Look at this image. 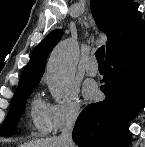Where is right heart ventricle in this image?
I'll use <instances>...</instances> for the list:
<instances>
[{"mask_svg":"<svg viewBox=\"0 0 145 147\" xmlns=\"http://www.w3.org/2000/svg\"><path fill=\"white\" fill-rule=\"evenodd\" d=\"M31 121L34 127L40 132L48 131L46 123V104L39 98H35L31 105Z\"/></svg>","mask_w":145,"mask_h":147,"instance_id":"obj_1","label":"right heart ventricle"}]
</instances>
